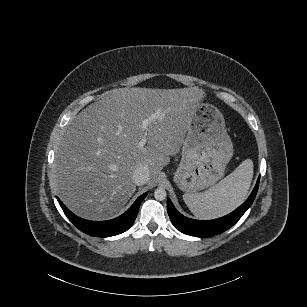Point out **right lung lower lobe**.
<instances>
[{
	"label": "right lung lower lobe",
	"instance_id": "obj_1",
	"mask_svg": "<svg viewBox=\"0 0 307 307\" xmlns=\"http://www.w3.org/2000/svg\"><path fill=\"white\" fill-rule=\"evenodd\" d=\"M147 193L141 195L134 204L121 216L108 221H89L74 215L58 199L60 206L69 220L82 232L98 237L114 236L128 230L136 219L139 207Z\"/></svg>",
	"mask_w": 307,
	"mask_h": 307
}]
</instances>
